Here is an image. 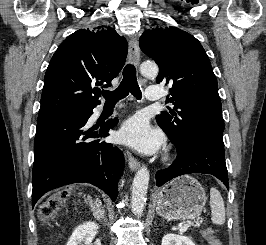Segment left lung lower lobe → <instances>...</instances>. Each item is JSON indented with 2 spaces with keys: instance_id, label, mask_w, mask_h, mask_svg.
<instances>
[{
  "instance_id": "0a47b994",
  "label": "left lung lower lobe",
  "mask_w": 266,
  "mask_h": 245,
  "mask_svg": "<svg viewBox=\"0 0 266 245\" xmlns=\"http://www.w3.org/2000/svg\"><path fill=\"white\" fill-rule=\"evenodd\" d=\"M177 159L167 169L156 173V185L190 173L211 174L229 189L222 135L196 131L190 133L182 147H176Z\"/></svg>"
}]
</instances>
